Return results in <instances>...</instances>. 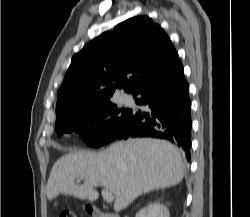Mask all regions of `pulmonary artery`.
<instances>
[{"label":"pulmonary artery","instance_id":"e3ab8cb5","mask_svg":"<svg viewBox=\"0 0 250 217\" xmlns=\"http://www.w3.org/2000/svg\"><path fill=\"white\" fill-rule=\"evenodd\" d=\"M120 101L123 102V103H127L129 101V97L126 96V95H121L119 97Z\"/></svg>","mask_w":250,"mask_h":217}]
</instances>
